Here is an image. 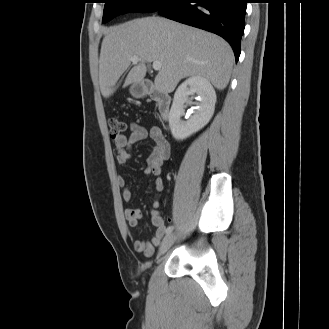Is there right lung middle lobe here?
<instances>
[{
	"instance_id": "right-lung-middle-lobe-1",
	"label": "right lung middle lobe",
	"mask_w": 329,
	"mask_h": 329,
	"mask_svg": "<svg viewBox=\"0 0 329 329\" xmlns=\"http://www.w3.org/2000/svg\"><path fill=\"white\" fill-rule=\"evenodd\" d=\"M171 0H104L103 23L125 13H149L160 10Z\"/></svg>"
}]
</instances>
